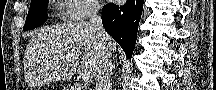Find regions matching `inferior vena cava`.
Masks as SVG:
<instances>
[{"mask_svg":"<svg viewBox=\"0 0 216 90\" xmlns=\"http://www.w3.org/2000/svg\"><path fill=\"white\" fill-rule=\"evenodd\" d=\"M102 6H95L91 4L89 12L91 14L89 24L90 30L95 32L100 46V54L98 62L93 66V78L96 82L95 90H112L111 76L113 74V66L110 60V36L105 32L102 24L101 12Z\"/></svg>","mask_w":216,"mask_h":90,"instance_id":"inferior-vena-cava-1","label":"inferior vena cava"}]
</instances>
